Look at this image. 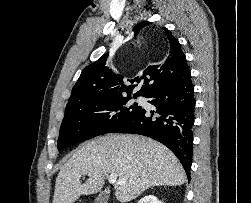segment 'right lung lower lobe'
I'll return each mask as SVG.
<instances>
[{
    "label": "right lung lower lobe",
    "instance_id": "98d812e1",
    "mask_svg": "<svg viewBox=\"0 0 251 203\" xmlns=\"http://www.w3.org/2000/svg\"><path fill=\"white\" fill-rule=\"evenodd\" d=\"M144 97L156 110L141 108L114 132L140 134L163 143L178 157L190 179L195 99L189 68L153 87Z\"/></svg>",
    "mask_w": 251,
    "mask_h": 203
}]
</instances>
